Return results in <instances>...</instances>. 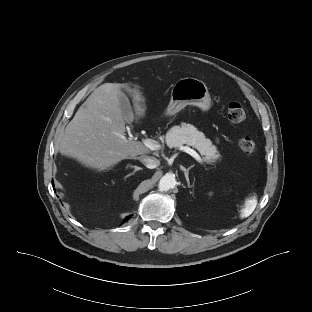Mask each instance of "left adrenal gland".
I'll return each instance as SVG.
<instances>
[{"label": "left adrenal gland", "instance_id": "left-adrenal-gland-1", "mask_svg": "<svg viewBox=\"0 0 312 312\" xmlns=\"http://www.w3.org/2000/svg\"><path fill=\"white\" fill-rule=\"evenodd\" d=\"M192 167H193V165L186 169L185 167L180 166L181 170L184 171V175H185V178H186V181H187V184H188L189 187H190L189 170H190Z\"/></svg>", "mask_w": 312, "mask_h": 312}]
</instances>
